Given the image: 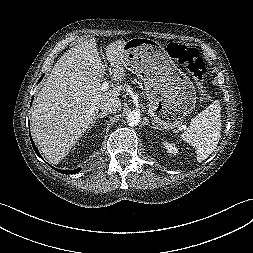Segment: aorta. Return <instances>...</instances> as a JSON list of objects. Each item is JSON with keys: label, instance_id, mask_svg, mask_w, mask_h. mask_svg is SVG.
I'll use <instances>...</instances> for the list:
<instances>
[{"label": "aorta", "instance_id": "762f6f07", "mask_svg": "<svg viewBox=\"0 0 253 253\" xmlns=\"http://www.w3.org/2000/svg\"><path fill=\"white\" fill-rule=\"evenodd\" d=\"M141 121V115L139 112L132 111L127 115V123L130 126L138 125Z\"/></svg>", "mask_w": 253, "mask_h": 253}]
</instances>
